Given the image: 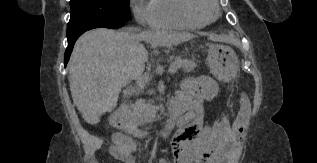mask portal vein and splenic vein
<instances>
[{"label":"portal vein and splenic vein","mask_w":317,"mask_h":163,"mask_svg":"<svg viewBox=\"0 0 317 163\" xmlns=\"http://www.w3.org/2000/svg\"><path fill=\"white\" fill-rule=\"evenodd\" d=\"M169 71H170L171 73H175V72H176V69L170 67Z\"/></svg>","instance_id":"obj_1"}]
</instances>
